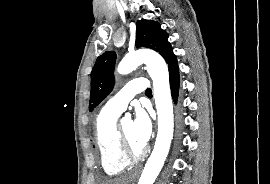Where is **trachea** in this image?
Instances as JSON below:
<instances>
[{"instance_id":"trachea-1","label":"trachea","mask_w":270,"mask_h":184,"mask_svg":"<svg viewBox=\"0 0 270 184\" xmlns=\"http://www.w3.org/2000/svg\"><path fill=\"white\" fill-rule=\"evenodd\" d=\"M145 93L146 94H152V90L151 89H147Z\"/></svg>"}]
</instances>
